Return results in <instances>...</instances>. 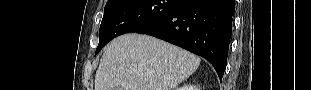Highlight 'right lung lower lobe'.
Returning <instances> with one entry per match:
<instances>
[{
	"label": "right lung lower lobe",
	"instance_id": "1",
	"mask_svg": "<svg viewBox=\"0 0 311 90\" xmlns=\"http://www.w3.org/2000/svg\"><path fill=\"white\" fill-rule=\"evenodd\" d=\"M234 10V0H181L170 13L136 33L160 38L204 57L222 80Z\"/></svg>",
	"mask_w": 311,
	"mask_h": 90
}]
</instances>
